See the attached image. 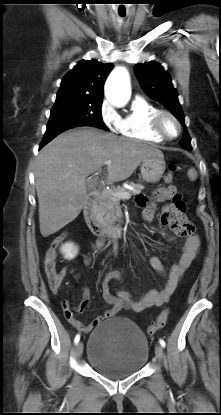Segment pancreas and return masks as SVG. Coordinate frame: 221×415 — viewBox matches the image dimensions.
<instances>
[{
  "label": "pancreas",
  "instance_id": "cf45deb5",
  "mask_svg": "<svg viewBox=\"0 0 221 415\" xmlns=\"http://www.w3.org/2000/svg\"><path fill=\"white\" fill-rule=\"evenodd\" d=\"M132 186L133 190H127L124 186H118L110 190H103L97 199V204L94 209L95 217L102 224H112L117 220L115 214V207L119 204L120 199L116 198L113 194L116 192L127 191L130 195H137L144 189L142 184H136L134 182H127Z\"/></svg>",
  "mask_w": 221,
  "mask_h": 415
}]
</instances>
